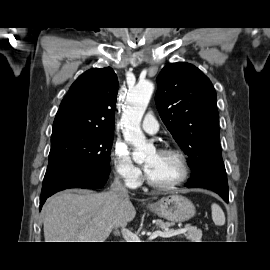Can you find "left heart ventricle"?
<instances>
[{"label": "left heart ventricle", "mask_w": 270, "mask_h": 270, "mask_svg": "<svg viewBox=\"0 0 270 270\" xmlns=\"http://www.w3.org/2000/svg\"><path fill=\"white\" fill-rule=\"evenodd\" d=\"M148 166L146 171L149 178L158 184L170 183L181 175V166L178 158L174 155L152 152L145 161Z\"/></svg>", "instance_id": "left-heart-ventricle-1"}]
</instances>
